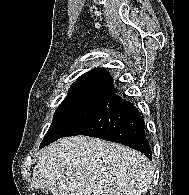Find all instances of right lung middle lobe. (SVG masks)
Masks as SVG:
<instances>
[{"label": "right lung middle lobe", "mask_w": 189, "mask_h": 195, "mask_svg": "<svg viewBox=\"0 0 189 195\" xmlns=\"http://www.w3.org/2000/svg\"><path fill=\"white\" fill-rule=\"evenodd\" d=\"M108 97L103 93L69 92L57 108L40 148L76 131Z\"/></svg>", "instance_id": "dd1d6c3e"}]
</instances>
